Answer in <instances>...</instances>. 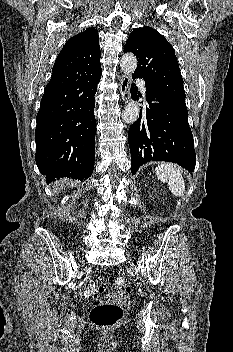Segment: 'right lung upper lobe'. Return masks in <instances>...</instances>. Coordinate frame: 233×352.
<instances>
[{"label": "right lung upper lobe", "mask_w": 233, "mask_h": 352, "mask_svg": "<svg viewBox=\"0 0 233 352\" xmlns=\"http://www.w3.org/2000/svg\"><path fill=\"white\" fill-rule=\"evenodd\" d=\"M98 31L87 28L71 37L58 54L45 90L59 89L101 72Z\"/></svg>", "instance_id": "cb5924a9"}]
</instances>
